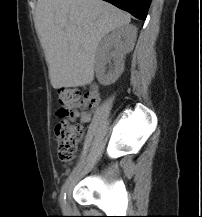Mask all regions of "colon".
Segmentation results:
<instances>
[{
  "label": "colon",
  "instance_id": "colon-1",
  "mask_svg": "<svg viewBox=\"0 0 202 217\" xmlns=\"http://www.w3.org/2000/svg\"><path fill=\"white\" fill-rule=\"evenodd\" d=\"M89 95L77 89L62 88L58 91V122L55 125L59 159L68 164L75 157L77 146L84 136V129L71 122L72 110L88 103Z\"/></svg>",
  "mask_w": 202,
  "mask_h": 217
}]
</instances>
